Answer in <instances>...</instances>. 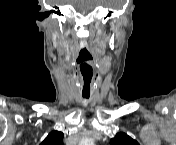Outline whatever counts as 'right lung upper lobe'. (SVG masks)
<instances>
[{
    "mask_svg": "<svg viewBox=\"0 0 176 145\" xmlns=\"http://www.w3.org/2000/svg\"><path fill=\"white\" fill-rule=\"evenodd\" d=\"M64 134L60 131H52L44 139L41 145H63Z\"/></svg>",
    "mask_w": 176,
    "mask_h": 145,
    "instance_id": "1",
    "label": "right lung upper lobe"
}]
</instances>
